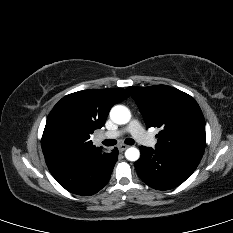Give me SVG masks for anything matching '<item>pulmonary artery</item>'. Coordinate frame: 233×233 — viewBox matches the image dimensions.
<instances>
[{
    "mask_svg": "<svg viewBox=\"0 0 233 233\" xmlns=\"http://www.w3.org/2000/svg\"><path fill=\"white\" fill-rule=\"evenodd\" d=\"M124 133L132 134L137 141L146 146H154L156 143L155 140L143 130L137 120H132L129 125L123 130L108 131L104 133L102 138L114 139L122 136Z\"/></svg>",
    "mask_w": 233,
    "mask_h": 233,
    "instance_id": "1",
    "label": "pulmonary artery"
}]
</instances>
